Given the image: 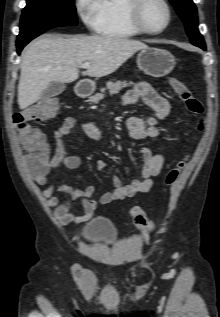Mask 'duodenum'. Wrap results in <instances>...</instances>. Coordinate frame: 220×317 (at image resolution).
Returning a JSON list of instances; mask_svg holds the SVG:
<instances>
[{"label":"duodenum","instance_id":"1","mask_svg":"<svg viewBox=\"0 0 220 317\" xmlns=\"http://www.w3.org/2000/svg\"><path fill=\"white\" fill-rule=\"evenodd\" d=\"M91 91V87L90 85L83 83V82H79L76 86H75V93L77 96L79 97H86Z\"/></svg>","mask_w":220,"mask_h":317}]
</instances>
